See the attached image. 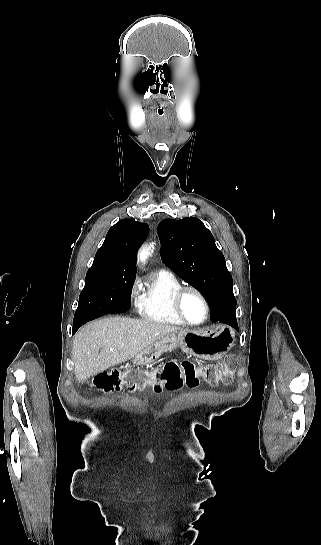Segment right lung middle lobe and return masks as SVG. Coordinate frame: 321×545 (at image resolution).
<instances>
[{"label": "right lung middle lobe", "instance_id": "dd1d6c3e", "mask_svg": "<svg viewBox=\"0 0 321 545\" xmlns=\"http://www.w3.org/2000/svg\"><path fill=\"white\" fill-rule=\"evenodd\" d=\"M134 280L135 276L88 271L73 321L95 319L107 314L108 306L116 298L131 294Z\"/></svg>", "mask_w": 321, "mask_h": 545}]
</instances>
